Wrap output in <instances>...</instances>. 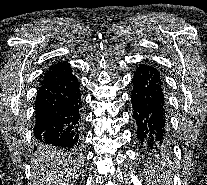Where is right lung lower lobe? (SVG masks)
Wrapping results in <instances>:
<instances>
[{
    "label": "right lung lower lobe",
    "mask_w": 207,
    "mask_h": 185,
    "mask_svg": "<svg viewBox=\"0 0 207 185\" xmlns=\"http://www.w3.org/2000/svg\"><path fill=\"white\" fill-rule=\"evenodd\" d=\"M82 106L79 82L72 73L41 83L35 104V140L68 150L77 148L81 142Z\"/></svg>",
    "instance_id": "98d812e1"
}]
</instances>
